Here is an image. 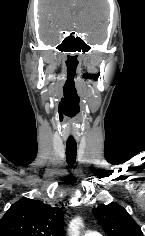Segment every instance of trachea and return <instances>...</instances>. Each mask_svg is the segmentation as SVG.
Listing matches in <instances>:
<instances>
[{
  "label": "trachea",
  "mask_w": 145,
  "mask_h": 236,
  "mask_svg": "<svg viewBox=\"0 0 145 236\" xmlns=\"http://www.w3.org/2000/svg\"><path fill=\"white\" fill-rule=\"evenodd\" d=\"M77 144L76 142H67L66 144V160L70 167H73L76 161Z\"/></svg>",
  "instance_id": "trachea-1"
}]
</instances>
